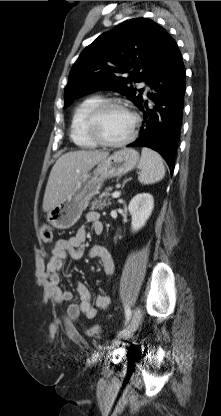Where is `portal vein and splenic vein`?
<instances>
[{"instance_id": "1", "label": "portal vein and splenic vein", "mask_w": 221, "mask_h": 416, "mask_svg": "<svg viewBox=\"0 0 221 416\" xmlns=\"http://www.w3.org/2000/svg\"><path fill=\"white\" fill-rule=\"evenodd\" d=\"M120 196V192L119 191H115V192H113V194H112V197L113 198H118Z\"/></svg>"}]
</instances>
